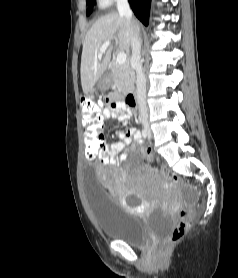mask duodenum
Returning a JSON list of instances; mask_svg holds the SVG:
<instances>
[{"mask_svg":"<svg viewBox=\"0 0 238 278\" xmlns=\"http://www.w3.org/2000/svg\"><path fill=\"white\" fill-rule=\"evenodd\" d=\"M126 103L130 106V107H136L137 105V95L135 92H129L126 96Z\"/></svg>","mask_w":238,"mask_h":278,"instance_id":"duodenum-1","label":"duodenum"}]
</instances>
